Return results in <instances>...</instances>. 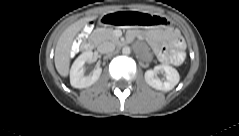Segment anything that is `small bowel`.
Instances as JSON below:
<instances>
[{"mask_svg":"<svg viewBox=\"0 0 239 136\" xmlns=\"http://www.w3.org/2000/svg\"><path fill=\"white\" fill-rule=\"evenodd\" d=\"M91 26H86L85 30L90 31ZM169 37L173 39V47L172 51H169L166 47H160L157 50L158 58L161 62L165 64H178L182 62L184 58V42L181 37L178 36L176 31H170L168 33Z\"/></svg>","mask_w":239,"mask_h":136,"instance_id":"small-bowel-1","label":"small bowel"}]
</instances>
